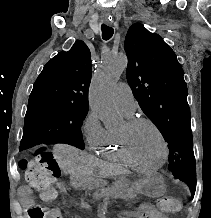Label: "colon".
<instances>
[{
  "label": "colon",
  "instance_id": "colon-1",
  "mask_svg": "<svg viewBox=\"0 0 211 218\" xmlns=\"http://www.w3.org/2000/svg\"><path fill=\"white\" fill-rule=\"evenodd\" d=\"M19 166L25 171V178L30 187L37 191L44 200H53L57 196L55 184L60 176L59 166L49 150L39 147L29 159H22ZM180 203L176 198H163L159 208L165 212L175 211ZM29 218H49L50 212L40 206L28 210Z\"/></svg>",
  "mask_w": 211,
  "mask_h": 218
}]
</instances>
